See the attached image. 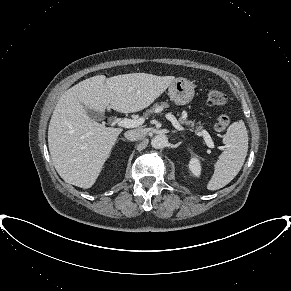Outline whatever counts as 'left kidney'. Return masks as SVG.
<instances>
[{
    "label": "left kidney",
    "instance_id": "5707ae66",
    "mask_svg": "<svg viewBox=\"0 0 291 291\" xmlns=\"http://www.w3.org/2000/svg\"><path fill=\"white\" fill-rule=\"evenodd\" d=\"M189 168L195 176H199L201 172L200 162L196 157L190 159Z\"/></svg>",
    "mask_w": 291,
    "mask_h": 291
}]
</instances>
